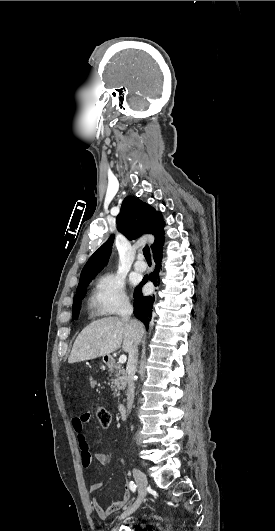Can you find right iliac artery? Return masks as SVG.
Wrapping results in <instances>:
<instances>
[{"label":"right iliac artery","instance_id":"obj_1","mask_svg":"<svg viewBox=\"0 0 275 531\" xmlns=\"http://www.w3.org/2000/svg\"><path fill=\"white\" fill-rule=\"evenodd\" d=\"M129 487H130V489H131L133 492L136 491V487H137V486L135 485V483H134L133 481H130V483H129Z\"/></svg>","mask_w":275,"mask_h":531}]
</instances>
